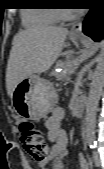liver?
<instances>
[{"instance_id": "liver-1", "label": "liver", "mask_w": 104, "mask_h": 169, "mask_svg": "<svg viewBox=\"0 0 104 169\" xmlns=\"http://www.w3.org/2000/svg\"><path fill=\"white\" fill-rule=\"evenodd\" d=\"M68 33L64 27L37 26L14 37L6 70V88L10 97L24 78L50 69L61 54Z\"/></svg>"}]
</instances>
